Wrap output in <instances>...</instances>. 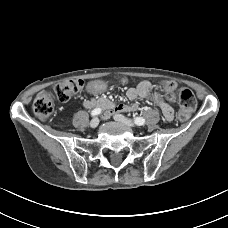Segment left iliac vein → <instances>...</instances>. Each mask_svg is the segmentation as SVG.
<instances>
[{
	"mask_svg": "<svg viewBox=\"0 0 228 228\" xmlns=\"http://www.w3.org/2000/svg\"><path fill=\"white\" fill-rule=\"evenodd\" d=\"M114 120L121 122V123H123L127 126H130V127L135 126V123L133 121H131L130 119H128L122 115H119V114L114 115Z\"/></svg>",
	"mask_w": 228,
	"mask_h": 228,
	"instance_id": "4c4485c4",
	"label": "left iliac vein"
}]
</instances>
